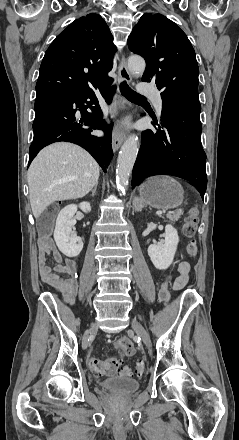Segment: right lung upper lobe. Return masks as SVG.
Masks as SVG:
<instances>
[{"label": "right lung upper lobe", "mask_w": 239, "mask_h": 440, "mask_svg": "<svg viewBox=\"0 0 239 440\" xmlns=\"http://www.w3.org/2000/svg\"><path fill=\"white\" fill-rule=\"evenodd\" d=\"M113 36L98 14L75 20L47 49L36 93L87 90L109 80L116 52Z\"/></svg>", "instance_id": "obj_1"}]
</instances>
